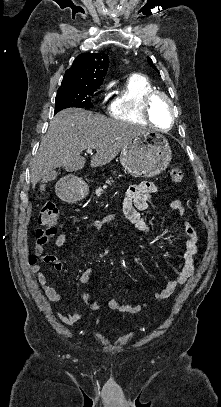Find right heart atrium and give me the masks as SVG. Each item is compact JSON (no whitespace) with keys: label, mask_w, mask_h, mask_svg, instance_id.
I'll return each instance as SVG.
<instances>
[{"label":"right heart atrium","mask_w":221,"mask_h":407,"mask_svg":"<svg viewBox=\"0 0 221 407\" xmlns=\"http://www.w3.org/2000/svg\"><path fill=\"white\" fill-rule=\"evenodd\" d=\"M109 85H106L105 87H104V91H107L108 89H109Z\"/></svg>","instance_id":"right-heart-atrium-1"}]
</instances>
